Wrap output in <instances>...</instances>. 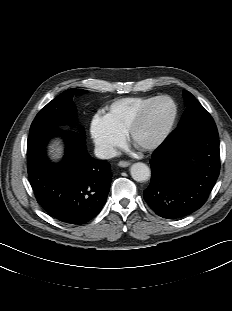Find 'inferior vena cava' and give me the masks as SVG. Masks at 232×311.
<instances>
[{
    "instance_id": "1",
    "label": "inferior vena cava",
    "mask_w": 232,
    "mask_h": 311,
    "mask_svg": "<svg viewBox=\"0 0 232 311\" xmlns=\"http://www.w3.org/2000/svg\"><path fill=\"white\" fill-rule=\"evenodd\" d=\"M95 155L100 159H110L117 155V151L108 145H99L95 147Z\"/></svg>"
}]
</instances>
